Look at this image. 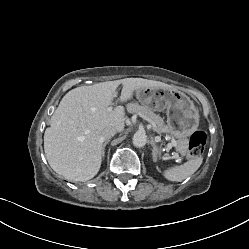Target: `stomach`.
Returning <instances> with one entry per match:
<instances>
[{
    "mask_svg": "<svg viewBox=\"0 0 249 249\" xmlns=\"http://www.w3.org/2000/svg\"><path fill=\"white\" fill-rule=\"evenodd\" d=\"M139 102L156 111L166 109L167 124L178 139L187 138L199 125V113L190 98L181 91L166 88L136 90Z\"/></svg>",
    "mask_w": 249,
    "mask_h": 249,
    "instance_id": "obj_1",
    "label": "stomach"
}]
</instances>
